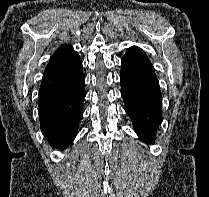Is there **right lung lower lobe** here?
I'll list each match as a JSON object with an SVG mask.
<instances>
[{
    "mask_svg": "<svg viewBox=\"0 0 209 197\" xmlns=\"http://www.w3.org/2000/svg\"><path fill=\"white\" fill-rule=\"evenodd\" d=\"M85 98L82 60L72 52L43 74L38 94L41 130L52 147L67 146L77 134Z\"/></svg>",
    "mask_w": 209,
    "mask_h": 197,
    "instance_id": "1",
    "label": "right lung lower lobe"
}]
</instances>
